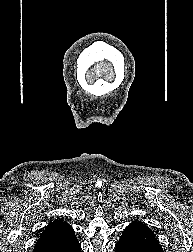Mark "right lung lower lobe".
Returning <instances> with one entry per match:
<instances>
[{"instance_id":"obj_1","label":"right lung lower lobe","mask_w":193,"mask_h":252,"mask_svg":"<svg viewBox=\"0 0 193 252\" xmlns=\"http://www.w3.org/2000/svg\"><path fill=\"white\" fill-rule=\"evenodd\" d=\"M33 252H81L74 230L58 231L51 236L38 241Z\"/></svg>"}]
</instances>
